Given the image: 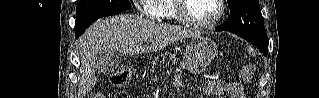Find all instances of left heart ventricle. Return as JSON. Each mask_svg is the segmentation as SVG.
I'll return each instance as SVG.
<instances>
[{
	"mask_svg": "<svg viewBox=\"0 0 319 98\" xmlns=\"http://www.w3.org/2000/svg\"><path fill=\"white\" fill-rule=\"evenodd\" d=\"M188 16L199 21H209L218 13L216 0H187L184 3Z\"/></svg>",
	"mask_w": 319,
	"mask_h": 98,
	"instance_id": "b2bd125f",
	"label": "left heart ventricle"
}]
</instances>
